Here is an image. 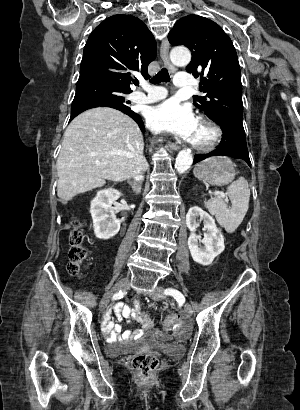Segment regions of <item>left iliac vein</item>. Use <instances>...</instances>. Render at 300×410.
Returning <instances> with one entry per match:
<instances>
[{
  "label": "left iliac vein",
  "mask_w": 300,
  "mask_h": 410,
  "mask_svg": "<svg viewBox=\"0 0 300 410\" xmlns=\"http://www.w3.org/2000/svg\"><path fill=\"white\" fill-rule=\"evenodd\" d=\"M162 291H163V288L156 287L153 292L149 293V296L154 300H160V299L164 298V295L162 294ZM184 311L187 315H192V313H193V309H192L191 305L188 304V303H186L184 305Z\"/></svg>",
  "instance_id": "1"
}]
</instances>
